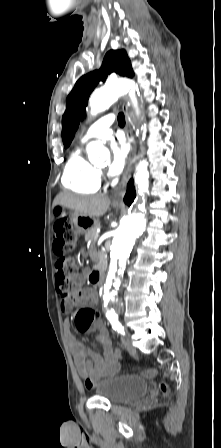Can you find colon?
Returning a JSON list of instances; mask_svg holds the SVG:
<instances>
[{
    "mask_svg": "<svg viewBox=\"0 0 221 448\" xmlns=\"http://www.w3.org/2000/svg\"><path fill=\"white\" fill-rule=\"evenodd\" d=\"M55 229V238L61 243V250L63 255L59 260L55 277L57 286L61 292L62 298L68 297L70 295V291L75 285L76 278L74 274L76 272V265L73 257L71 256V252L74 250L77 244V233L74 228V224L71 219L65 217H59L54 224ZM94 311L92 309L86 310V315L88 320L86 321V326L91 323V319L93 317ZM140 375L146 378H154L157 375L156 369H149L140 372ZM98 384V381L92 380L90 378L85 380V387L87 389H92L94 386ZM160 391L163 394L168 393V387L166 383L161 382L159 385Z\"/></svg>",
    "mask_w": 221,
    "mask_h": 448,
    "instance_id": "5ec220e1",
    "label": "colon"
}]
</instances>
